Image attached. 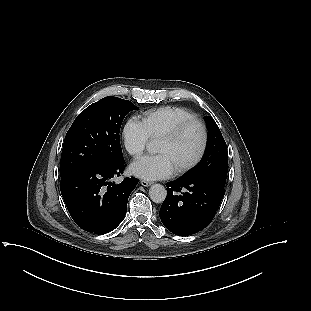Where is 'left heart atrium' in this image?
I'll return each mask as SVG.
<instances>
[{"mask_svg": "<svg viewBox=\"0 0 311 311\" xmlns=\"http://www.w3.org/2000/svg\"><path fill=\"white\" fill-rule=\"evenodd\" d=\"M131 172L145 180H157L167 178L174 172L167 155L159 153L146 155L131 164Z\"/></svg>", "mask_w": 311, "mask_h": 311, "instance_id": "39dd6f15", "label": "left heart atrium"}]
</instances>
